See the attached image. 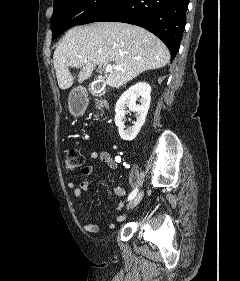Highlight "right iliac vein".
<instances>
[{
    "instance_id": "obj_1",
    "label": "right iliac vein",
    "mask_w": 240,
    "mask_h": 281,
    "mask_svg": "<svg viewBox=\"0 0 240 281\" xmlns=\"http://www.w3.org/2000/svg\"><path fill=\"white\" fill-rule=\"evenodd\" d=\"M143 197V192H139L135 197L128 203L127 209H132L134 208L141 200Z\"/></svg>"
}]
</instances>
